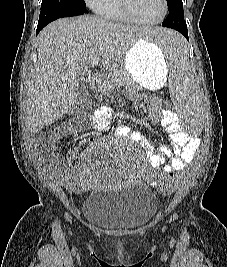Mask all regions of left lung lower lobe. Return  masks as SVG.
I'll return each mask as SVG.
<instances>
[{
    "label": "left lung lower lobe",
    "mask_w": 227,
    "mask_h": 267,
    "mask_svg": "<svg viewBox=\"0 0 227 267\" xmlns=\"http://www.w3.org/2000/svg\"><path fill=\"white\" fill-rule=\"evenodd\" d=\"M163 27L175 29L180 32L187 40L188 38V30L187 25L184 20V11L183 8L172 11L168 14L167 18L162 23Z\"/></svg>",
    "instance_id": "1"
}]
</instances>
